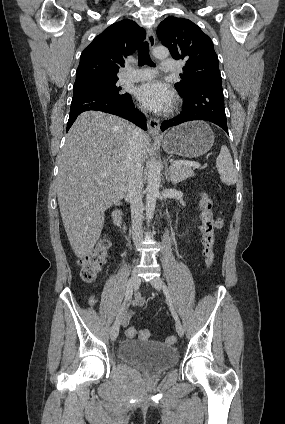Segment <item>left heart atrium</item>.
I'll use <instances>...</instances> for the list:
<instances>
[{
	"instance_id": "obj_1",
	"label": "left heart atrium",
	"mask_w": 285,
	"mask_h": 424,
	"mask_svg": "<svg viewBox=\"0 0 285 424\" xmlns=\"http://www.w3.org/2000/svg\"><path fill=\"white\" fill-rule=\"evenodd\" d=\"M136 95L141 104L154 112H165L173 103V92L162 82L151 80L140 85Z\"/></svg>"
}]
</instances>
